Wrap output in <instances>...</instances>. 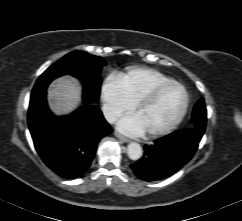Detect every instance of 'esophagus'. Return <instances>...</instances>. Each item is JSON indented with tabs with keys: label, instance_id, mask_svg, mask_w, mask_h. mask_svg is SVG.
Segmentation results:
<instances>
[{
	"label": "esophagus",
	"instance_id": "1",
	"mask_svg": "<svg viewBox=\"0 0 242 221\" xmlns=\"http://www.w3.org/2000/svg\"><path fill=\"white\" fill-rule=\"evenodd\" d=\"M115 135H116V137L119 138L122 142L128 143V142L131 141L129 138H126V137L120 135L119 133H115Z\"/></svg>",
	"mask_w": 242,
	"mask_h": 221
}]
</instances>
